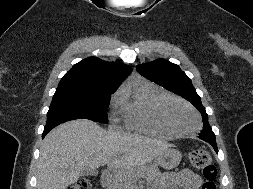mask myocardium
<instances>
[{"instance_id":"1","label":"myocardium","mask_w":253,"mask_h":189,"mask_svg":"<svg viewBox=\"0 0 253 189\" xmlns=\"http://www.w3.org/2000/svg\"><path fill=\"white\" fill-rule=\"evenodd\" d=\"M168 103H177L189 109L195 116L196 127L190 130H185V131L176 129L167 120L165 116L164 109ZM153 117L158 126H160L162 129H164L165 131L169 132L171 135H174V136H186V135L194 134L195 132L199 130L201 126V119L197 110L188 102L172 95H165L164 97H162L161 99L157 101L153 109Z\"/></svg>"}]
</instances>
